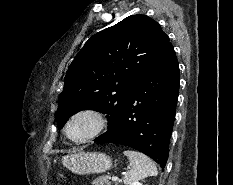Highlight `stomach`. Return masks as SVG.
<instances>
[{"mask_svg":"<svg viewBox=\"0 0 233 185\" xmlns=\"http://www.w3.org/2000/svg\"><path fill=\"white\" fill-rule=\"evenodd\" d=\"M62 163L78 175L103 173L112 167L111 158L101 152H74L64 156Z\"/></svg>","mask_w":233,"mask_h":185,"instance_id":"1","label":"stomach"}]
</instances>
